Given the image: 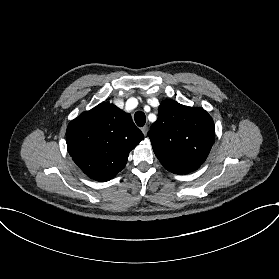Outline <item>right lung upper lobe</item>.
<instances>
[{
    "instance_id": "obj_1",
    "label": "right lung upper lobe",
    "mask_w": 279,
    "mask_h": 279,
    "mask_svg": "<svg viewBox=\"0 0 279 279\" xmlns=\"http://www.w3.org/2000/svg\"><path fill=\"white\" fill-rule=\"evenodd\" d=\"M144 138L129 114L101 103L71 121L66 131L68 152L91 179L105 182L126 165L129 152Z\"/></svg>"
}]
</instances>
